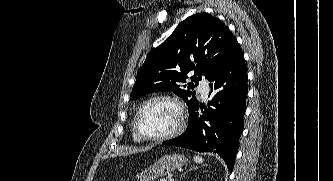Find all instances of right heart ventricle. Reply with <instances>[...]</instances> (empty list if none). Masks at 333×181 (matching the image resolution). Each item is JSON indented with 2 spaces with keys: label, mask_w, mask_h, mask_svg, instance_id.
I'll list each match as a JSON object with an SVG mask.
<instances>
[{
  "label": "right heart ventricle",
  "mask_w": 333,
  "mask_h": 181,
  "mask_svg": "<svg viewBox=\"0 0 333 181\" xmlns=\"http://www.w3.org/2000/svg\"><path fill=\"white\" fill-rule=\"evenodd\" d=\"M132 135H133V139L136 141V142H140L141 139L135 134V132L133 131V128H132Z\"/></svg>",
  "instance_id": "e07e8e85"
}]
</instances>
